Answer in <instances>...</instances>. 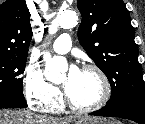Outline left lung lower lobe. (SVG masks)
<instances>
[{
    "label": "left lung lower lobe",
    "mask_w": 145,
    "mask_h": 124,
    "mask_svg": "<svg viewBox=\"0 0 145 124\" xmlns=\"http://www.w3.org/2000/svg\"><path fill=\"white\" fill-rule=\"evenodd\" d=\"M91 115L120 117L138 124H145V105L133 101H125L115 105H107L91 113Z\"/></svg>",
    "instance_id": "1"
}]
</instances>
